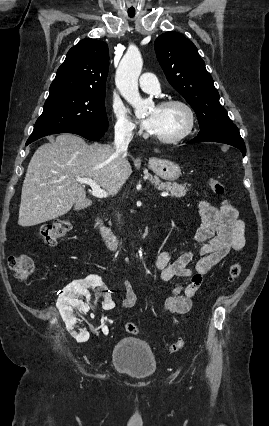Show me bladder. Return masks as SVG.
I'll return each mask as SVG.
<instances>
[{"label": "bladder", "mask_w": 269, "mask_h": 426, "mask_svg": "<svg viewBox=\"0 0 269 426\" xmlns=\"http://www.w3.org/2000/svg\"><path fill=\"white\" fill-rule=\"evenodd\" d=\"M111 364L118 371L137 378L151 376L157 368L156 357L150 346L135 337L123 338L114 345Z\"/></svg>", "instance_id": "1"}]
</instances>
